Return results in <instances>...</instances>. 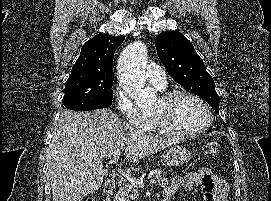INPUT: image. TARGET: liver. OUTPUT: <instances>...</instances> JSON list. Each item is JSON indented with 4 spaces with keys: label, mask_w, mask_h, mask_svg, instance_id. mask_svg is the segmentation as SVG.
Wrapping results in <instances>:
<instances>
[{
    "label": "liver",
    "mask_w": 271,
    "mask_h": 201,
    "mask_svg": "<svg viewBox=\"0 0 271 201\" xmlns=\"http://www.w3.org/2000/svg\"><path fill=\"white\" fill-rule=\"evenodd\" d=\"M177 141L158 138L126 123L110 109L64 110L49 145L53 201H81L103 182L102 158L125 148L126 160L137 162Z\"/></svg>",
    "instance_id": "1"
}]
</instances>
